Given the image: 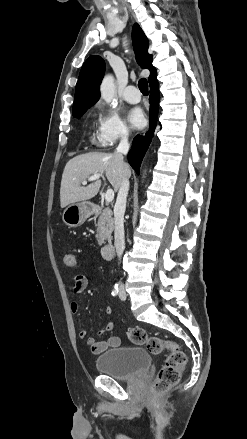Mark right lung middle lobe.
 Wrapping results in <instances>:
<instances>
[{"mask_svg": "<svg viewBox=\"0 0 247 439\" xmlns=\"http://www.w3.org/2000/svg\"><path fill=\"white\" fill-rule=\"evenodd\" d=\"M85 112H86V110H82V111H79V112L73 114V116L76 117V118H79V117H81Z\"/></svg>", "mask_w": 247, "mask_h": 439, "instance_id": "1", "label": "right lung middle lobe"}]
</instances>
